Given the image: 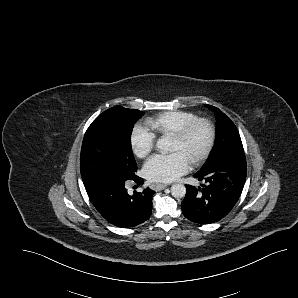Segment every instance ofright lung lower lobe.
<instances>
[{
  "label": "right lung lower lobe",
  "mask_w": 298,
  "mask_h": 298,
  "mask_svg": "<svg viewBox=\"0 0 298 298\" xmlns=\"http://www.w3.org/2000/svg\"><path fill=\"white\" fill-rule=\"evenodd\" d=\"M129 180L143 184V179L135 173ZM129 180L85 186L90 201L98 212L109 223L121 228L134 227L145 222L152 212V196L155 191L146 188L130 195L125 188V182Z\"/></svg>",
  "instance_id": "98d812e1"
}]
</instances>
